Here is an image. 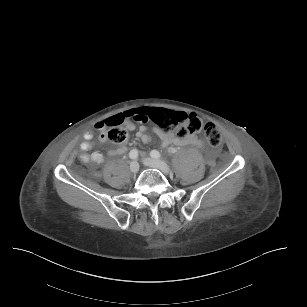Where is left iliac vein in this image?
<instances>
[{
    "label": "left iliac vein",
    "mask_w": 307,
    "mask_h": 307,
    "mask_svg": "<svg viewBox=\"0 0 307 307\" xmlns=\"http://www.w3.org/2000/svg\"><path fill=\"white\" fill-rule=\"evenodd\" d=\"M144 164L151 167V168H156L161 170L164 173H168L170 171L168 165L161 161V160H156V159H152V158H145L143 160Z\"/></svg>",
    "instance_id": "obj_1"
}]
</instances>
